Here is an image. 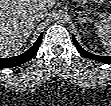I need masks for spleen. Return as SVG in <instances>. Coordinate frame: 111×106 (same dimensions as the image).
Segmentation results:
<instances>
[{
	"label": "spleen",
	"instance_id": "obj_1",
	"mask_svg": "<svg viewBox=\"0 0 111 106\" xmlns=\"http://www.w3.org/2000/svg\"><path fill=\"white\" fill-rule=\"evenodd\" d=\"M94 28L96 34L101 38L105 50L111 55V19L96 22Z\"/></svg>",
	"mask_w": 111,
	"mask_h": 106
}]
</instances>
